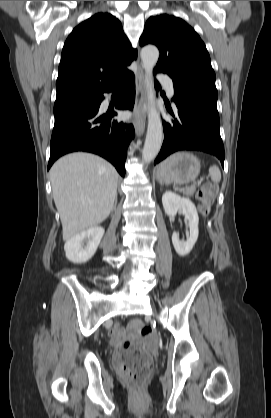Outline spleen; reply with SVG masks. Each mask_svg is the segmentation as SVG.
<instances>
[{
  "label": "spleen",
  "instance_id": "spleen-1",
  "mask_svg": "<svg viewBox=\"0 0 271 418\" xmlns=\"http://www.w3.org/2000/svg\"><path fill=\"white\" fill-rule=\"evenodd\" d=\"M209 174L211 176V180L214 183H218L221 180V172L217 166H211L209 168Z\"/></svg>",
  "mask_w": 271,
  "mask_h": 418
}]
</instances>
